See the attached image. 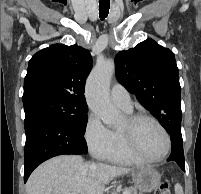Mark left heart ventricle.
<instances>
[{"instance_id":"obj_1","label":"left heart ventricle","mask_w":201,"mask_h":194,"mask_svg":"<svg viewBox=\"0 0 201 194\" xmlns=\"http://www.w3.org/2000/svg\"><path fill=\"white\" fill-rule=\"evenodd\" d=\"M126 124L123 122L122 127ZM135 140L138 149L149 157L162 155L167 147L163 132L152 122L144 120L136 128Z\"/></svg>"}]
</instances>
